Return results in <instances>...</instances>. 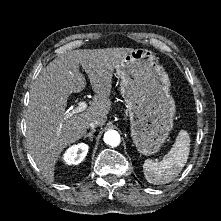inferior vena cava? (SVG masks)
I'll use <instances>...</instances> for the list:
<instances>
[{"label": "inferior vena cava", "mask_w": 221, "mask_h": 221, "mask_svg": "<svg viewBox=\"0 0 221 221\" xmlns=\"http://www.w3.org/2000/svg\"><path fill=\"white\" fill-rule=\"evenodd\" d=\"M100 125V120L99 119H94L89 123V127L94 129L96 126Z\"/></svg>", "instance_id": "1"}]
</instances>
